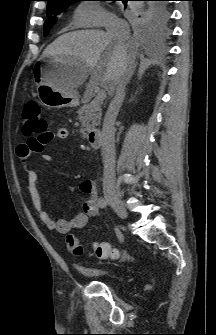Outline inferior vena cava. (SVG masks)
I'll return each instance as SVG.
<instances>
[{"label": "inferior vena cava", "instance_id": "obj_1", "mask_svg": "<svg viewBox=\"0 0 216 335\" xmlns=\"http://www.w3.org/2000/svg\"><path fill=\"white\" fill-rule=\"evenodd\" d=\"M107 35L119 44L130 39L128 23L110 15L105 23ZM132 75V62L122 59L116 76L114 97L106 112L102 128L101 147L103 156V189L115 190V120L125 97V87Z\"/></svg>", "mask_w": 216, "mask_h": 335}]
</instances>
